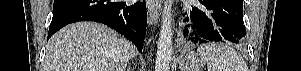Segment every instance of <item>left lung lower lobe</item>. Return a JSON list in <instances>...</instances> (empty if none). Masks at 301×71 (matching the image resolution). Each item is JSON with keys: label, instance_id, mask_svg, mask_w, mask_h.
Returning <instances> with one entry per match:
<instances>
[{"label": "left lung lower lobe", "instance_id": "obj_1", "mask_svg": "<svg viewBox=\"0 0 301 71\" xmlns=\"http://www.w3.org/2000/svg\"><path fill=\"white\" fill-rule=\"evenodd\" d=\"M192 7L191 21L194 29L190 38L195 43L227 41L241 43L245 37L243 0H199ZM189 21V18H186ZM189 26V25H188ZM185 34H188L187 26Z\"/></svg>", "mask_w": 301, "mask_h": 71}]
</instances>
